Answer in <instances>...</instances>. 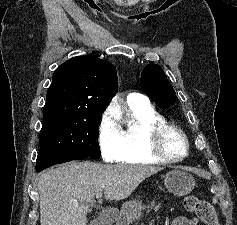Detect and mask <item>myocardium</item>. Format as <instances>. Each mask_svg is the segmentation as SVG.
<instances>
[{
  "instance_id": "obj_1",
  "label": "myocardium",
  "mask_w": 237,
  "mask_h": 225,
  "mask_svg": "<svg viewBox=\"0 0 237 225\" xmlns=\"http://www.w3.org/2000/svg\"><path fill=\"white\" fill-rule=\"evenodd\" d=\"M172 133L177 134L183 141L184 153L182 155L174 156L166 150V138ZM147 135L151 152L155 157L162 160L163 162H178L185 159L189 154L190 143L188 137L182 129L175 125L168 123L157 124L150 128Z\"/></svg>"
}]
</instances>
